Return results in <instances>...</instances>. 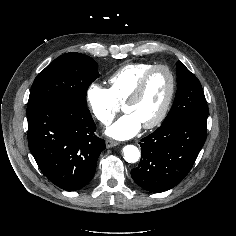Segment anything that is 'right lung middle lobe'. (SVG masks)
<instances>
[{
    "mask_svg": "<svg viewBox=\"0 0 236 236\" xmlns=\"http://www.w3.org/2000/svg\"><path fill=\"white\" fill-rule=\"evenodd\" d=\"M98 77L92 58L80 53L63 54L37 75L28 106L52 103L87 108L86 91Z\"/></svg>",
    "mask_w": 236,
    "mask_h": 236,
    "instance_id": "dd1d6c3e",
    "label": "right lung middle lobe"
}]
</instances>
